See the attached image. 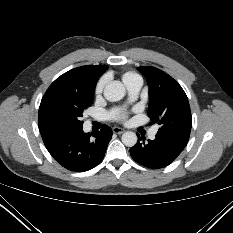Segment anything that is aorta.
Here are the masks:
<instances>
[{
    "label": "aorta",
    "instance_id": "aorta-1",
    "mask_svg": "<svg viewBox=\"0 0 233 233\" xmlns=\"http://www.w3.org/2000/svg\"><path fill=\"white\" fill-rule=\"evenodd\" d=\"M125 96V87L120 81H112L105 86L104 97L110 102L121 100ZM122 142L125 146L132 147L137 143V135L127 131L122 135Z\"/></svg>",
    "mask_w": 233,
    "mask_h": 233
}]
</instances>
